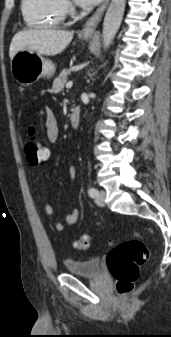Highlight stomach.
I'll return each mask as SVG.
<instances>
[{
    "label": "stomach",
    "instance_id": "obj_1",
    "mask_svg": "<svg viewBox=\"0 0 171 337\" xmlns=\"http://www.w3.org/2000/svg\"><path fill=\"white\" fill-rule=\"evenodd\" d=\"M89 39L91 35H84ZM13 78L22 85H30L40 78L50 79L55 73V64L42 55L29 50H21L11 60Z\"/></svg>",
    "mask_w": 171,
    "mask_h": 337
}]
</instances>
